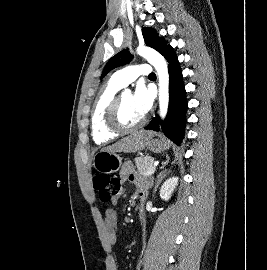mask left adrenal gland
Masks as SVG:
<instances>
[{
    "mask_svg": "<svg viewBox=\"0 0 267 270\" xmlns=\"http://www.w3.org/2000/svg\"><path fill=\"white\" fill-rule=\"evenodd\" d=\"M170 172L167 171L166 169L161 171L159 173V175L156 177V180H155V187H154V192L156 191L157 187L159 186V184L161 183V181L166 177V175Z\"/></svg>",
    "mask_w": 267,
    "mask_h": 270,
    "instance_id": "obj_1",
    "label": "left adrenal gland"
}]
</instances>
